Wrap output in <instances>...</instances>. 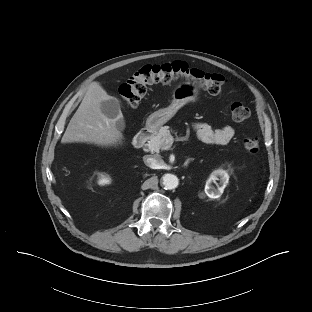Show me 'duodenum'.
Here are the masks:
<instances>
[{"instance_id":"duodenum-1","label":"duodenum","mask_w":312,"mask_h":312,"mask_svg":"<svg viewBox=\"0 0 312 312\" xmlns=\"http://www.w3.org/2000/svg\"><path fill=\"white\" fill-rule=\"evenodd\" d=\"M154 128L152 126H147L140 130L133 138L132 145L135 148H141L145 145L149 137L153 134Z\"/></svg>"}]
</instances>
